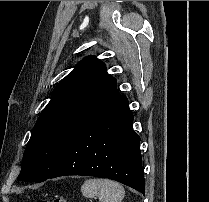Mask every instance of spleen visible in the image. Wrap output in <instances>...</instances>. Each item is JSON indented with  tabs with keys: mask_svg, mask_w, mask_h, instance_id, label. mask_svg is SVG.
Instances as JSON below:
<instances>
[{
	"mask_svg": "<svg viewBox=\"0 0 209 202\" xmlns=\"http://www.w3.org/2000/svg\"><path fill=\"white\" fill-rule=\"evenodd\" d=\"M85 198L97 197L100 202H121L125 196L123 186L108 179H88L81 186Z\"/></svg>",
	"mask_w": 209,
	"mask_h": 202,
	"instance_id": "spleen-1",
	"label": "spleen"
}]
</instances>
